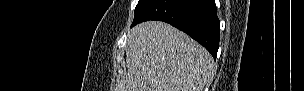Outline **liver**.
I'll list each match as a JSON object with an SVG mask.
<instances>
[{"instance_id":"liver-1","label":"liver","mask_w":304,"mask_h":91,"mask_svg":"<svg viewBox=\"0 0 304 91\" xmlns=\"http://www.w3.org/2000/svg\"><path fill=\"white\" fill-rule=\"evenodd\" d=\"M126 66L118 91H202L215 70L205 48L160 21L143 22L129 32Z\"/></svg>"}]
</instances>
